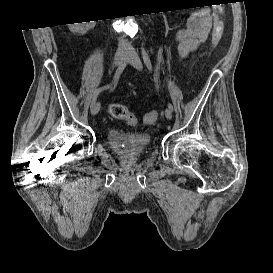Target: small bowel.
Wrapping results in <instances>:
<instances>
[{
  "label": "small bowel",
  "mask_w": 273,
  "mask_h": 273,
  "mask_svg": "<svg viewBox=\"0 0 273 273\" xmlns=\"http://www.w3.org/2000/svg\"><path fill=\"white\" fill-rule=\"evenodd\" d=\"M218 21V16L212 17L205 12L191 14L187 18L186 26L173 35V41L178 44L181 57H188L205 42Z\"/></svg>",
  "instance_id": "c3829d8e"
}]
</instances>
